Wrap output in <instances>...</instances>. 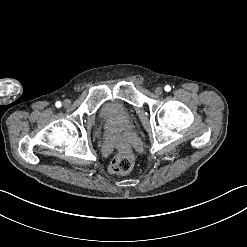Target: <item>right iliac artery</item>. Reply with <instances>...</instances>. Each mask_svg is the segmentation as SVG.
<instances>
[{
	"label": "right iliac artery",
	"instance_id": "82829eb1",
	"mask_svg": "<svg viewBox=\"0 0 247 247\" xmlns=\"http://www.w3.org/2000/svg\"><path fill=\"white\" fill-rule=\"evenodd\" d=\"M55 105H56V107H58V108H59V107H61V102H60V101H58V102H56V104H55Z\"/></svg>",
	"mask_w": 247,
	"mask_h": 247
}]
</instances>
